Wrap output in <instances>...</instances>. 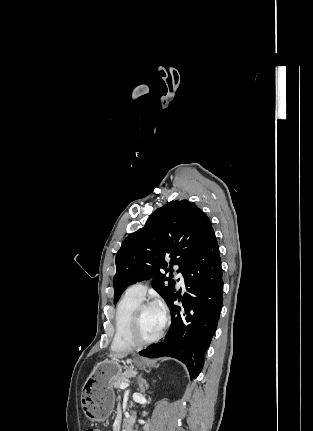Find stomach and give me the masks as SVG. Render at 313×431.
I'll return each instance as SVG.
<instances>
[{
  "label": "stomach",
  "instance_id": "stomach-1",
  "mask_svg": "<svg viewBox=\"0 0 313 431\" xmlns=\"http://www.w3.org/2000/svg\"><path fill=\"white\" fill-rule=\"evenodd\" d=\"M133 363L138 367L148 364L143 358H135ZM123 370L129 371L121 366L116 359H106L96 365L93 372L82 387L81 405L86 417L92 422L106 420L113 411L115 393L113 382L124 374Z\"/></svg>",
  "mask_w": 313,
  "mask_h": 431
}]
</instances>
